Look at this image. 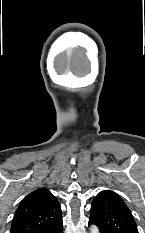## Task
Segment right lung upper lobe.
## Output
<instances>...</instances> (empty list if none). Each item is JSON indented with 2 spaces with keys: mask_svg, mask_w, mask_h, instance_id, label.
Wrapping results in <instances>:
<instances>
[{
  "mask_svg": "<svg viewBox=\"0 0 145 233\" xmlns=\"http://www.w3.org/2000/svg\"><path fill=\"white\" fill-rule=\"evenodd\" d=\"M60 221L61 207L46 188L27 195L15 212L10 233H48Z\"/></svg>",
  "mask_w": 145,
  "mask_h": 233,
  "instance_id": "1",
  "label": "right lung upper lobe"
}]
</instances>
